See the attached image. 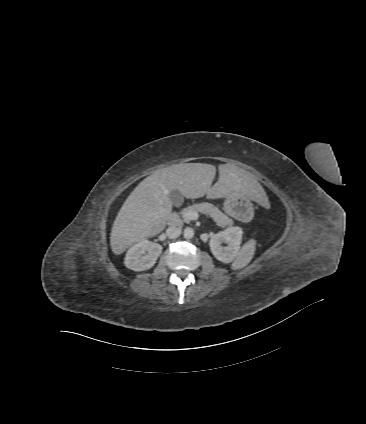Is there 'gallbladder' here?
Wrapping results in <instances>:
<instances>
[{
	"instance_id": "1",
	"label": "gallbladder",
	"mask_w": 366,
	"mask_h": 424,
	"mask_svg": "<svg viewBox=\"0 0 366 424\" xmlns=\"http://www.w3.org/2000/svg\"><path fill=\"white\" fill-rule=\"evenodd\" d=\"M181 197V193L176 189L170 192V199L174 205L181 203Z\"/></svg>"
}]
</instances>
